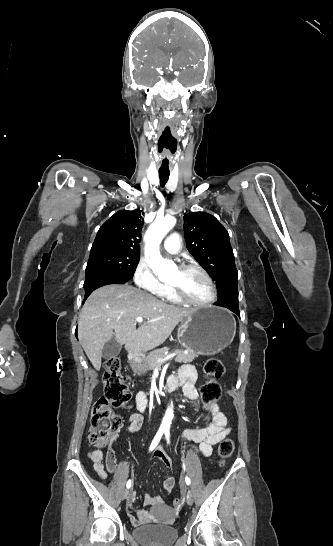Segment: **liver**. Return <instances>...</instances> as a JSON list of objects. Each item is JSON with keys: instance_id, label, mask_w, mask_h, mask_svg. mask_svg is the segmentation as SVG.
<instances>
[{"instance_id": "obj_1", "label": "liver", "mask_w": 333, "mask_h": 546, "mask_svg": "<svg viewBox=\"0 0 333 546\" xmlns=\"http://www.w3.org/2000/svg\"><path fill=\"white\" fill-rule=\"evenodd\" d=\"M196 309L168 305L131 285H106L86 300L78 320V338L96 370L101 367L102 350L112 339L126 350L144 353L169 337L177 324ZM147 323L136 329V318Z\"/></svg>"}]
</instances>
